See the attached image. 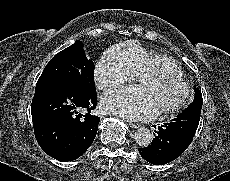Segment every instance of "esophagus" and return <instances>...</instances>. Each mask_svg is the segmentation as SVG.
Wrapping results in <instances>:
<instances>
[{
    "label": "esophagus",
    "mask_w": 230,
    "mask_h": 181,
    "mask_svg": "<svg viewBox=\"0 0 230 181\" xmlns=\"http://www.w3.org/2000/svg\"><path fill=\"white\" fill-rule=\"evenodd\" d=\"M127 122L129 123V126L132 128H139L140 127V124H138V123H133V122H130L128 120H127Z\"/></svg>",
    "instance_id": "1"
}]
</instances>
